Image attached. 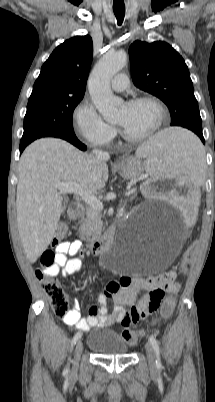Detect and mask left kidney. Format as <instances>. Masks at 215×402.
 <instances>
[{
    "label": "left kidney",
    "mask_w": 215,
    "mask_h": 402,
    "mask_svg": "<svg viewBox=\"0 0 215 402\" xmlns=\"http://www.w3.org/2000/svg\"><path fill=\"white\" fill-rule=\"evenodd\" d=\"M144 184L145 193H162L163 200H173L177 208H184L185 222L197 221L196 209H199L200 202L195 182H187L186 178H181L180 175H151L145 179Z\"/></svg>",
    "instance_id": "1"
}]
</instances>
